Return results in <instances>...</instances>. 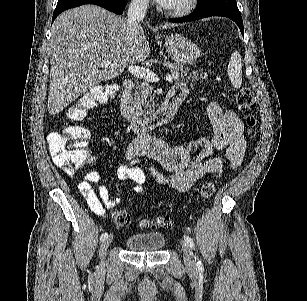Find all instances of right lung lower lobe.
Returning a JSON list of instances; mask_svg holds the SVG:
<instances>
[{"label":"right lung lower lobe","mask_w":307,"mask_h":301,"mask_svg":"<svg viewBox=\"0 0 307 301\" xmlns=\"http://www.w3.org/2000/svg\"><path fill=\"white\" fill-rule=\"evenodd\" d=\"M128 0H58L53 13L52 22L63 11L83 4H95L121 15Z\"/></svg>","instance_id":"1"}]
</instances>
